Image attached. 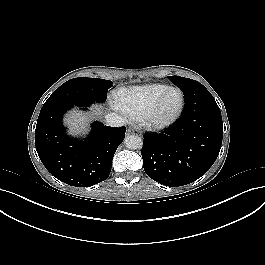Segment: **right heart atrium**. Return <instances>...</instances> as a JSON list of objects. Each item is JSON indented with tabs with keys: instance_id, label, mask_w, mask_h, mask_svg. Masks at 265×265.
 I'll return each mask as SVG.
<instances>
[{
	"instance_id": "d8ad5b80",
	"label": "right heart atrium",
	"mask_w": 265,
	"mask_h": 265,
	"mask_svg": "<svg viewBox=\"0 0 265 265\" xmlns=\"http://www.w3.org/2000/svg\"><path fill=\"white\" fill-rule=\"evenodd\" d=\"M114 107H115L116 109H118V110H121L120 107H119L118 104H117V100H116V98H115V100H114Z\"/></svg>"
}]
</instances>
